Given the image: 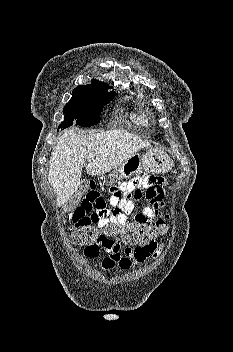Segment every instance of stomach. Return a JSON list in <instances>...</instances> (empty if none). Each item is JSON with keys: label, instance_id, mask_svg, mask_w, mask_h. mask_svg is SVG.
<instances>
[{"label": "stomach", "instance_id": "stomach-1", "mask_svg": "<svg viewBox=\"0 0 233 352\" xmlns=\"http://www.w3.org/2000/svg\"><path fill=\"white\" fill-rule=\"evenodd\" d=\"M172 167V160L166 152L151 147L143 155L135 154L110 174V181L116 182L140 173L161 174Z\"/></svg>", "mask_w": 233, "mask_h": 352}]
</instances>
